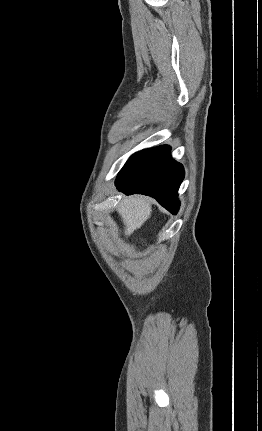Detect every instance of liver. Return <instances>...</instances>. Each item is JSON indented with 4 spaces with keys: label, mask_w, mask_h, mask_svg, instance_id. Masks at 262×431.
Segmentation results:
<instances>
[{
    "label": "liver",
    "mask_w": 262,
    "mask_h": 431,
    "mask_svg": "<svg viewBox=\"0 0 262 431\" xmlns=\"http://www.w3.org/2000/svg\"><path fill=\"white\" fill-rule=\"evenodd\" d=\"M117 211L125 225V235L130 236L150 218L151 201L139 195L127 197L120 202Z\"/></svg>",
    "instance_id": "liver-1"
}]
</instances>
